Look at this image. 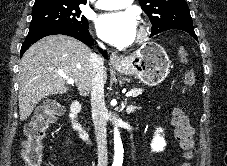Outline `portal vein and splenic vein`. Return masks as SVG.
<instances>
[{
	"label": "portal vein and splenic vein",
	"mask_w": 227,
	"mask_h": 166,
	"mask_svg": "<svg viewBox=\"0 0 227 166\" xmlns=\"http://www.w3.org/2000/svg\"><path fill=\"white\" fill-rule=\"evenodd\" d=\"M64 79H66L67 80V83L69 84V85H72V84H74V82H75V80L73 79V78H70V77H68V76H66V75H64V74H60ZM133 95V92L132 91H129L128 93H126V96L127 97H130V96H132Z\"/></svg>",
	"instance_id": "portal-vein-and-splenic-vein-1"
}]
</instances>
